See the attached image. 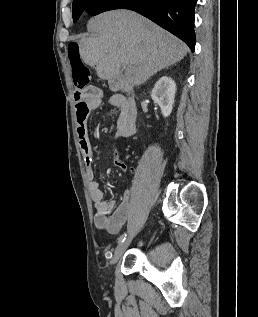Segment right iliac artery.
Listing matches in <instances>:
<instances>
[{
	"mask_svg": "<svg viewBox=\"0 0 258 317\" xmlns=\"http://www.w3.org/2000/svg\"><path fill=\"white\" fill-rule=\"evenodd\" d=\"M126 236H127V233L126 232H124L120 237H119V239H118V243H122V242H124L125 241V239H126Z\"/></svg>",
	"mask_w": 258,
	"mask_h": 317,
	"instance_id": "right-iliac-artery-1",
	"label": "right iliac artery"
}]
</instances>
